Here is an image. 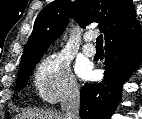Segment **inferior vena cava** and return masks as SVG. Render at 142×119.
I'll return each instance as SVG.
<instances>
[{"label":"inferior vena cava","instance_id":"1","mask_svg":"<svg viewBox=\"0 0 142 119\" xmlns=\"http://www.w3.org/2000/svg\"><path fill=\"white\" fill-rule=\"evenodd\" d=\"M80 94L77 86H72L61 101L64 119H80Z\"/></svg>","mask_w":142,"mask_h":119}]
</instances>
